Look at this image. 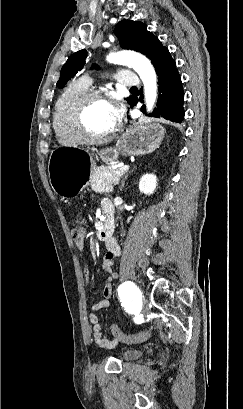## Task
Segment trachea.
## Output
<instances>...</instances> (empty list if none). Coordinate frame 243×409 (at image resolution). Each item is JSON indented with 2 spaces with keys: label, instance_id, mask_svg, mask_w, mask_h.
Wrapping results in <instances>:
<instances>
[{
  "label": "trachea",
  "instance_id": "1",
  "mask_svg": "<svg viewBox=\"0 0 243 409\" xmlns=\"http://www.w3.org/2000/svg\"><path fill=\"white\" fill-rule=\"evenodd\" d=\"M131 89H137L136 87H132Z\"/></svg>",
  "mask_w": 243,
  "mask_h": 409
}]
</instances>
